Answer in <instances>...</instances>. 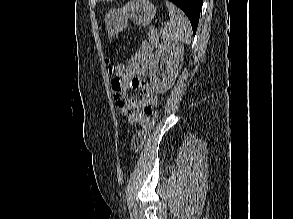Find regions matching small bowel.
I'll return each instance as SVG.
<instances>
[{
  "mask_svg": "<svg viewBox=\"0 0 293 219\" xmlns=\"http://www.w3.org/2000/svg\"><path fill=\"white\" fill-rule=\"evenodd\" d=\"M152 49L149 45L143 44L141 49L133 56L119 77L120 89H115L112 82V89L117 107L127 117L130 125L137 123L146 127L150 122L148 108H154L157 104V95L152 91L149 84L140 79L146 73ZM130 89H140L142 97L132 98L129 95Z\"/></svg>",
  "mask_w": 293,
  "mask_h": 219,
  "instance_id": "small-bowel-1",
  "label": "small bowel"
}]
</instances>
